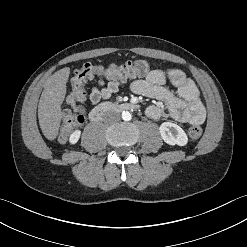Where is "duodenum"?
I'll use <instances>...</instances> for the list:
<instances>
[{
	"label": "duodenum",
	"mask_w": 247,
	"mask_h": 247,
	"mask_svg": "<svg viewBox=\"0 0 247 247\" xmlns=\"http://www.w3.org/2000/svg\"><path fill=\"white\" fill-rule=\"evenodd\" d=\"M137 106L130 102H123V103H111V102H105L97 105L94 107L90 114L89 119L91 122H98L102 119V117L112 111H128L133 110Z\"/></svg>",
	"instance_id": "410a0bca"
}]
</instances>
